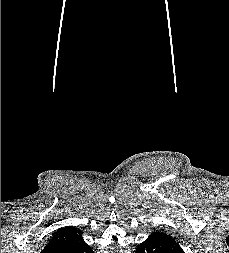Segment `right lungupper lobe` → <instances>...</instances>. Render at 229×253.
<instances>
[{"instance_id": "obj_1", "label": "right lung upper lobe", "mask_w": 229, "mask_h": 253, "mask_svg": "<svg viewBox=\"0 0 229 253\" xmlns=\"http://www.w3.org/2000/svg\"><path fill=\"white\" fill-rule=\"evenodd\" d=\"M81 239L82 231L74 227L59 229L53 234V237L41 253H53L54 251L72 245Z\"/></svg>"}]
</instances>
